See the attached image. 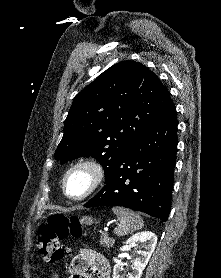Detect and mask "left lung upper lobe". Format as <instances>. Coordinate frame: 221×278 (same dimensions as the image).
Returning <instances> with one entry per match:
<instances>
[{
    "label": "left lung upper lobe",
    "mask_w": 221,
    "mask_h": 278,
    "mask_svg": "<svg viewBox=\"0 0 221 278\" xmlns=\"http://www.w3.org/2000/svg\"><path fill=\"white\" fill-rule=\"evenodd\" d=\"M172 105L155 73L139 62H119L74 98L55 159L93 156L106 177L123 150Z\"/></svg>",
    "instance_id": "obj_1"
}]
</instances>
